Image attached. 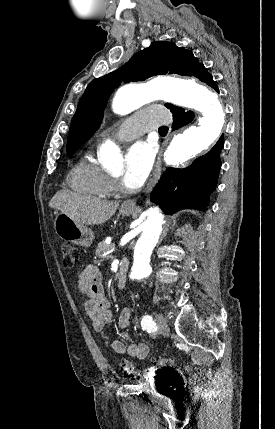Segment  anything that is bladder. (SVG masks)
<instances>
[{"mask_svg": "<svg viewBox=\"0 0 275 429\" xmlns=\"http://www.w3.org/2000/svg\"><path fill=\"white\" fill-rule=\"evenodd\" d=\"M143 391L144 393H165L166 386L165 384H144Z\"/></svg>", "mask_w": 275, "mask_h": 429, "instance_id": "obj_1", "label": "bladder"}]
</instances>
